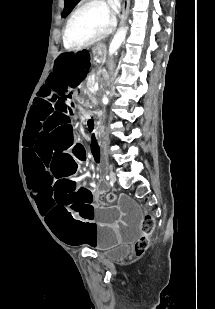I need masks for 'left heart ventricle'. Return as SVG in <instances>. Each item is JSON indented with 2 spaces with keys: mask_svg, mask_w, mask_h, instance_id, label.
Listing matches in <instances>:
<instances>
[{
  "mask_svg": "<svg viewBox=\"0 0 215 309\" xmlns=\"http://www.w3.org/2000/svg\"><path fill=\"white\" fill-rule=\"evenodd\" d=\"M104 9L91 7L79 13L73 20L68 31V43L71 41H89V34H94L95 29H105L108 20L104 18Z\"/></svg>",
  "mask_w": 215,
  "mask_h": 309,
  "instance_id": "obj_1",
  "label": "left heart ventricle"
}]
</instances>
